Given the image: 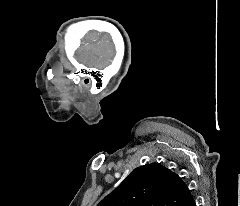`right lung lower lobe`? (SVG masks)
<instances>
[{"mask_svg":"<svg viewBox=\"0 0 240 206\" xmlns=\"http://www.w3.org/2000/svg\"><path fill=\"white\" fill-rule=\"evenodd\" d=\"M185 206H196L195 205V200L192 199L189 203H187Z\"/></svg>","mask_w":240,"mask_h":206,"instance_id":"obj_1","label":"right lung lower lobe"}]
</instances>
